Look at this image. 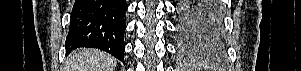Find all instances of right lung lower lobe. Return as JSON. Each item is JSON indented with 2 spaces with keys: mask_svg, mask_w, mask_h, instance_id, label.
<instances>
[{
  "mask_svg": "<svg viewBox=\"0 0 301 71\" xmlns=\"http://www.w3.org/2000/svg\"><path fill=\"white\" fill-rule=\"evenodd\" d=\"M127 3L123 0H76L70 17L66 51L98 48L124 63Z\"/></svg>",
  "mask_w": 301,
  "mask_h": 71,
  "instance_id": "98d812e1",
  "label": "right lung lower lobe"
}]
</instances>
